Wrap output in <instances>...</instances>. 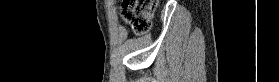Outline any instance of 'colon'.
Returning a JSON list of instances; mask_svg holds the SVG:
<instances>
[{
  "label": "colon",
  "instance_id": "obj_1",
  "mask_svg": "<svg viewBox=\"0 0 279 82\" xmlns=\"http://www.w3.org/2000/svg\"><path fill=\"white\" fill-rule=\"evenodd\" d=\"M159 0H124L121 20L137 34H143L151 27Z\"/></svg>",
  "mask_w": 279,
  "mask_h": 82
}]
</instances>
